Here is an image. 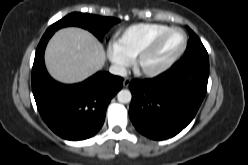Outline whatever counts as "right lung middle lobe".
Here are the masks:
<instances>
[{"mask_svg": "<svg viewBox=\"0 0 248 165\" xmlns=\"http://www.w3.org/2000/svg\"><path fill=\"white\" fill-rule=\"evenodd\" d=\"M120 20L111 17H101L87 13H71L51 25L46 33L55 32L66 26H79L92 32L100 41L109 28Z\"/></svg>", "mask_w": 248, "mask_h": 165, "instance_id": "right-lung-middle-lobe-1", "label": "right lung middle lobe"}]
</instances>
